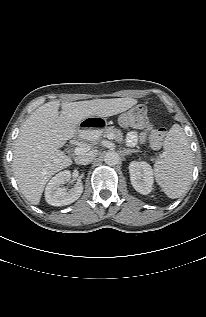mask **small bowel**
<instances>
[{"label":"small bowel","instance_id":"obj_1","mask_svg":"<svg viewBox=\"0 0 206 317\" xmlns=\"http://www.w3.org/2000/svg\"><path fill=\"white\" fill-rule=\"evenodd\" d=\"M153 129L152 125H148L144 131L142 132H136V131H131L128 133L126 137V142L133 146L137 144L138 142H143L145 141L147 134Z\"/></svg>","mask_w":206,"mask_h":317}]
</instances>
